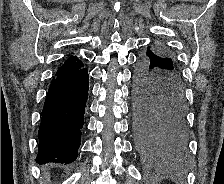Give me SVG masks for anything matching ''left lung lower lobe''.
Instances as JSON below:
<instances>
[{"mask_svg": "<svg viewBox=\"0 0 224 184\" xmlns=\"http://www.w3.org/2000/svg\"><path fill=\"white\" fill-rule=\"evenodd\" d=\"M175 65L150 48L141 52L134 73L133 117L138 147L152 152L185 148L184 87Z\"/></svg>", "mask_w": 224, "mask_h": 184, "instance_id": "left-lung-lower-lobe-1", "label": "left lung lower lobe"}]
</instances>
